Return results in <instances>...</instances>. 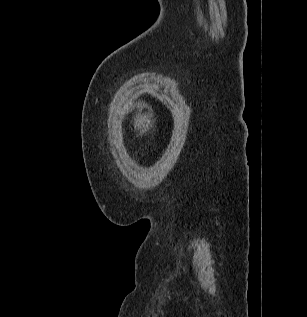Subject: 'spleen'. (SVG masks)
Here are the masks:
<instances>
[{
	"label": "spleen",
	"mask_w": 307,
	"mask_h": 317,
	"mask_svg": "<svg viewBox=\"0 0 307 317\" xmlns=\"http://www.w3.org/2000/svg\"><path fill=\"white\" fill-rule=\"evenodd\" d=\"M148 108L146 106H132L131 112L132 113H146Z\"/></svg>",
	"instance_id": "spleen-1"
}]
</instances>
